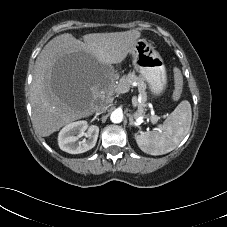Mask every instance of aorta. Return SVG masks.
I'll return each mask as SVG.
<instances>
[{
    "label": "aorta",
    "instance_id": "1",
    "mask_svg": "<svg viewBox=\"0 0 227 227\" xmlns=\"http://www.w3.org/2000/svg\"><path fill=\"white\" fill-rule=\"evenodd\" d=\"M110 120L113 123H121L123 120V112L119 109L114 110L110 115Z\"/></svg>",
    "mask_w": 227,
    "mask_h": 227
}]
</instances>
